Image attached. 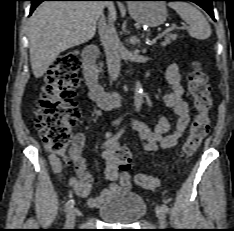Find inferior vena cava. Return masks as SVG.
Masks as SVG:
<instances>
[{"instance_id":"inferior-vena-cava-1","label":"inferior vena cava","mask_w":234,"mask_h":231,"mask_svg":"<svg viewBox=\"0 0 234 231\" xmlns=\"http://www.w3.org/2000/svg\"><path fill=\"white\" fill-rule=\"evenodd\" d=\"M105 5L110 7L113 3L106 1ZM99 34L105 49L109 77L112 83L117 80L120 73L121 43L112 22L109 20V25H107L104 16L99 21Z\"/></svg>"}]
</instances>
